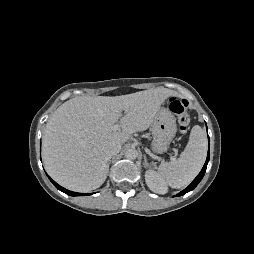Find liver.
<instances>
[{
	"label": "liver",
	"instance_id": "6515ba94",
	"mask_svg": "<svg viewBox=\"0 0 254 254\" xmlns=\"http://www.w3.org/2000/svg\"><path fill=\"white\" fill-rule=\"evenodd\" d=\"M176 92L152 88L121 96H78L63 103L46 124L45 169L60 185L79 192L100 187L107 177L106 148L146 130L161 104ZM124 111V115L120 114ZM121 127L113 131L112 126Z\"/></svg>",
	"mask_w": 254,
	"mask_h": 254
}]
</instances>
